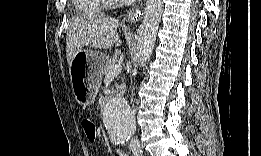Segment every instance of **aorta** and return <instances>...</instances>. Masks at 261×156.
<instances>
[{
  "label": "aorta",
  "instance_id": "obj_1",
  "mask_svg": "<svg viewBox=\"0 0 261 156\" xmlns=\"http://www.w3.org/2000/svg\"><path fill=\"white\" fill-rule=\"evenodd\" d=\"M162 0H147L137 43V62L144 66L151 58L162 14ZM103 121L111 138L127 141L136 128L134 113L124 98L111 99L105 106Z\"/></svg>",
  "mask_w": 261,
  "mask_h": 156
}]
</instances>
